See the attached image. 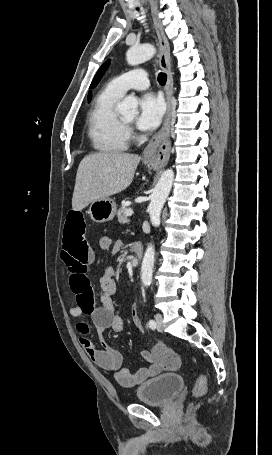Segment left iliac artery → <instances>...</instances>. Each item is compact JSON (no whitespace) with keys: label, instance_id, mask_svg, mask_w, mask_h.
<instances>
[{"label":"left iliac artery","instance_id":"obj_1","mask_svg":"<svg viewBox=\"0 0 272 455\" xmlns=\"http://www.w3.org/2000/svg\"><path fill=\"white\" fill-rule=\"evenodd\" d=\"M148 325H149V327L151 329H155L156 328V322L154 320H149Z\"/></svg>","mask_w":272,"mask_h":455}]
</instances>
